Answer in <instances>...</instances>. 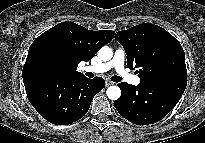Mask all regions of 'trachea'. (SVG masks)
<instances>
[{"label": "trachea", "instance_id": "obj_1", "mask_svg": "<svg viewBox=\"0 0 205 143\" xmlns=\"http://www.w3.org/2000/svg\"><path fill=\"white\" fill-rule=\"evenodd\" d=\"M111 80L113 81V82H120L121 81V78L119 77V76H112L111 77Z\"/></svg>", "mask_w": 205, "mask_h": 143}]
</instances>
